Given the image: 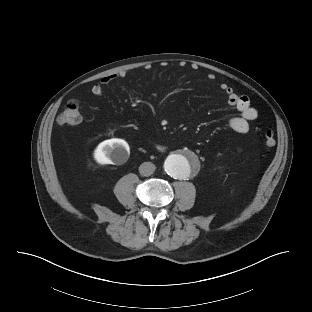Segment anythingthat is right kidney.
I'll return each instance as SVG.
<instances>
[{
  "label": "right kidney",
  "instance_id": "ca27d5eb",
  "mask_svg": "<svg viewBox=\"0 0 312 312\" xmlns=\"http://www.w3.org/2000/svg\"><path fill=\"white\" fill-rule=\"evenodd\" d=\"M128 143L123 139L113 138L101 142L94 151V159L98 164H122L129 157Z\"/></svg>",
  "mask_w": 312,
  "mask_h": 312
}]
</instances>
